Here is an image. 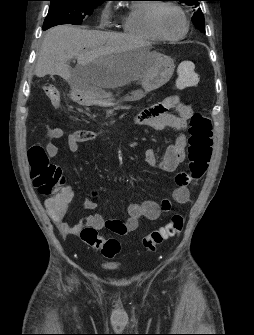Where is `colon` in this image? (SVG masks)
Wrapping results in <instances>:
<instances>
[{"label":"colon","instance_id":"obj_1","mask_svg":"<svg viewBox=\"0 0 254 335\" xmlns=\"http://www.w3.org/2000/svg\"><path fill=\"white\" fill-rule=\"evenodd\" d=\"M177 71L176 84L178 88H187L197 83L198 75L193 62H180ZM44 92L53 107L59 108L61 106V96L55 86H46ZM188 133L189 174L192 180L197 181L205 174L212 156L213 130L210 119L201 113L193 114ZM27 155L32 177L35 178L34 184L38 191L43 195H51L62 183L61 170L50 163L48 154L41 144L32 145L28 149ZM47 205L50 210L60 211L64 200L52 198ZM183 225V217L180 214H173L165 225L143 238V247L148 251H155L164 241L178 235L182 231ZM80 237L90 247L100 250L107 259H113L120 253V243L117 239H105L93 227L83 228Z\"/></svg>","mask_w":254,"mask_h":335}]
</instances>
